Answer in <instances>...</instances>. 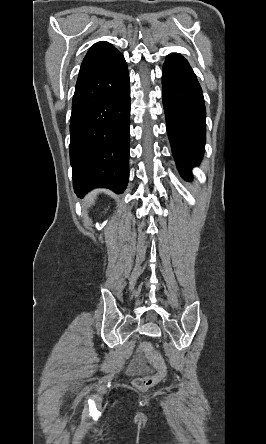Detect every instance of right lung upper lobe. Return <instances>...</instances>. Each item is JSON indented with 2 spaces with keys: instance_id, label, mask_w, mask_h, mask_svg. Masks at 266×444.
Wrapping results in <instances>:
<instances>
[{
  "instance_id": "1",
  "label": "right lung upper lobe",
  "mask_w": 266,
  "mask_h": 444,
  "mask_svg": "<svg viewBox=\"0 0 266 444\" xmlns=\"http://www.w3.org/2000/svg\"><path fill=\"white\" fill-rule=\"evenodd\" d=\"M120 55L121 53L108 42L95 43L83 59L76 88L100 75L112 65Z\"/></svg>"
}]
</instances>
